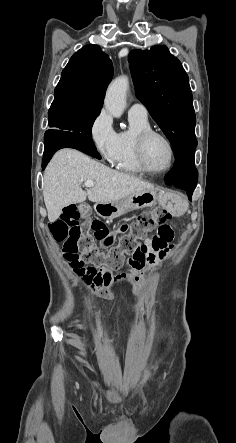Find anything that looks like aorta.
<instances>
[{"label": "aorta", "mask_w": 236, "mask_h": 443, "mask_svg": "<svg viewBox=\"0 0 236 443\" xmlns=\"http://www.w3.org/2000/svg\"><path fill=\"white\" fill-rule=\"evenodd\" d=\"M129 87L127 76L116 78L108 86L106 91L104 105L106 110L114 117L119 118L126 108V94Z\"/></svg>", "instance_id": "762f6f07"}]
</instances>
